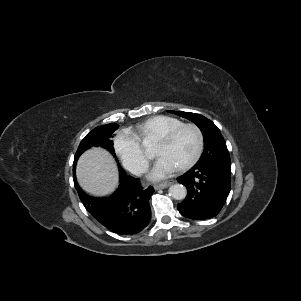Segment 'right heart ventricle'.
Returning <instances> with one entry per match:
<instances>
[{"mask_svg": "<svg viewBox=\"0 0 301 301\" xmlns=\"http://www.w3.org/2000/svg\"><path fill=\"white\" fill-rule=\"evenodd\" d=\"M183 122L175 117L167 115H157L150 117L132 128L128 129L140 141L155 139L171 129L181 125Z\"/></svg>", "mask_w": 301, "mask_h": 301, "instance_id": "1", "label": "right heart ventricle"}]
</instances>
